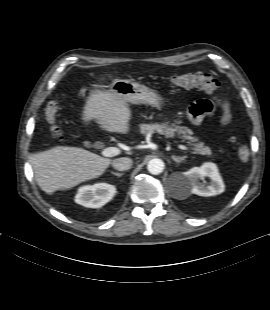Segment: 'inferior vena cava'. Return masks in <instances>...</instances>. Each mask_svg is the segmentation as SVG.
I'll list each match as a JSON object with an SVG mask.
<instances>
[{
  "label": "inferior vena cava",
  "instance_id": "obj_1",
  "mask_svg": "<svg viewBox=\"0 0 270 310\" xmlns=\"http://www.w3.org/2000/svg\"><path fill=\"white\" fill-rule=\"evenodd\" d=\"M132 163H133L132 159L128 157H121V158L115 159L112 162V166L114 169L118 171H125L132 167Z\"/></svg>",
  "mask_w": 270,
  "mask_h": 310
}]
</instances>
